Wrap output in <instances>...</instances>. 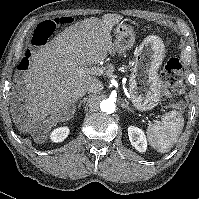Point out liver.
<instances>
[{
    "mask_svg": "<svg viewBox=\"0 0 199 199\" xmlns=\"http://www.w3.org/2000/svg\"><path fill=\"white\" fill-rule=\"evenodd\" d=\"M122 19L121 15L109 13L101 19H84L66 28L32 56L29 69L13 93L14 98L25 99L28 118L24 119L25 113L15 117L21 129L38 140L37 128L46 134L54 123L73 116L75 102L86 94L90 84L99 81L88 66L96 65L108 54L115 55L110 33ZM113 72V66H107L100 75L106 78ZM49 115L48 124L42 126V120Z\"/></svg>",
    "mask_w": 199,
    "mask_h": 199,
    "instance_id": "obj_1",
    "label": "liver"
}]
</instances>
